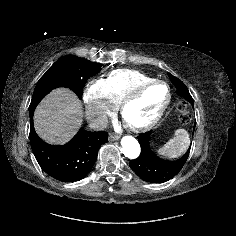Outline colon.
Segmentation results:
<instances>
[{
	"mask_svg": "<svg viewBox=\"0 0 236 236\" xmlns=\"http://www.w3.org/2000/svg\"><path fill=\"white\" fill-rule=\"evenodd\" d=\"M177 111L179 114V120L182 124H189L191 122L192 116L191 113L184 102H179L177 104Z\"/></svg>",
	"mask_w": 236,
	"mask_h": 236,
	"instance_id": "obj_1",
	"label": "colon"
}]
</instances>
